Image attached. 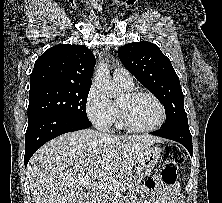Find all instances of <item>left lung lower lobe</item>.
<instances>
[{"label": "left lung lower lobe", "instance_id": "left-lung-lower-lobe-1", "mask_svg": "<svg viewBox=\"0 0 222 203\" xmlns=\"http://www.w3.org/2000/svg\"><path fill=\"white\" fill-rule=\"evenodd\" d=\"M150 134L181 143L192 156V136L189 131V127L176 126L161 128L157 131L151 132Z\"/></svg>", "mask_w": 222, "mask_h": 203}]
</instances>
